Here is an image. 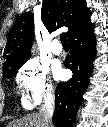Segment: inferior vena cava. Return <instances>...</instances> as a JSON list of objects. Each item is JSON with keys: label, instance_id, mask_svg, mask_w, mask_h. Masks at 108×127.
I'll return each mask as SVG.
<instances>
[{"label": "inferior vena cava", "instance_id": "obj_1", "mask_svg": "<svg viewBox=\"0 0 108 127\" xmlns=\"http://www.w3.org/2000/svg\"><path fill=\"white\" fill-rule=\"evenodd\" d=\"M55 107V95L53 92L49 91L44 96V106L41 108L40 113L44 117L45 127H53L52 116Z\"/></svg>", "mask_w": 108, "mask_h": 127}]
</instances>
